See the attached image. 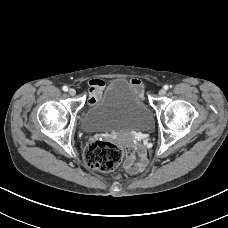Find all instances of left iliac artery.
I'll return each instance as SVG.
<instances>
[{
  "mask_svg": "<svg viewBox=\"0 0 228 228\" xmlns=\"http://www.w3.org/2000/svg\"><path fill=\"white\" fill-rule=\"evenodd\" d=\"M168 88H169L168 85H165V86H164V89H165V90H168Z\"/></svg>",
  "mask_w": 228,
  "mask_h": 228,
  "instance_id": "1",
  "label": "left iliac artery"
}]
</instances>
